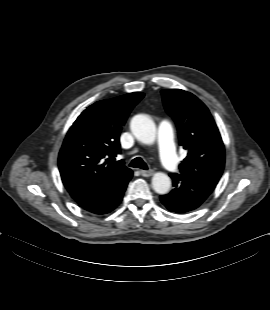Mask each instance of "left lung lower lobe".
<instances>
[{
    "instance_id": "left-lung-lower-lobe-1",
    "label": "left lung lower lobe",
    "mask_w": 270,
    "mask_h": 310,
    "mask_svg": "<svg viewBox=\"0 0 270 310\" xmlns=\"http://www.w3.org/2000/svg\"><path fill=\"white\" fill-rule=\"evenodd\" d=\"M170 177L174 189L160 199L172 212L185 213L197 209L215 189V185L189 180L178 174L172 173Z\"/></svg>"
}]
</instances>
